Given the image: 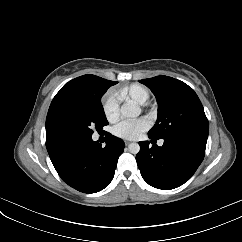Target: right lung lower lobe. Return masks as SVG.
Returning a JSON list of instances; mask_svg holds the SVG:
<instances>
[{
    "instance_id": "98d812e1",
    "label": "right lung lower lobe",
    "mask_w": 242,
    "mask_h": 242,
    "mask_svg": "<svg viewBox=\"0 0 242 242\" xmlns=\"http://www.w3.org/2000/svg\"><path fill=\"white\" fill-rule=\"evenodd\" d=\"M124 147L123 140L112 135L104 148L81 132L46 138L47 151L59 176L84 193H95L109 185Z\"/></svg>"
}]
</instances>
